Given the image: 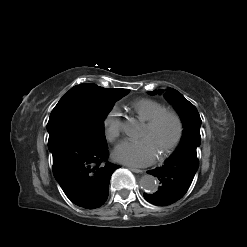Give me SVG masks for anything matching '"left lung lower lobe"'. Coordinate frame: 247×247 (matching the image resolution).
Here are the masks:
<instances>
[{
	"label": "left lung lower lobe",
	"mask_w": 247,
	"mask_h": 247,
	"mask_svg": "<svg viewBox=\"0 0 247 247\" xmlns=\"http://www.w3.org/2000/svg\"><path fill=\"white\" fill-rule=\"evenodd\" d=\"M197 147L180 146L165 161V164L148 173L160 181L159 190L153 194L144 193V198L157 206L173 204L189 189L199 167Z\"/></svg>",
	"instance_id": "left-lung-lower-lobe-1"
}]
</instances>
